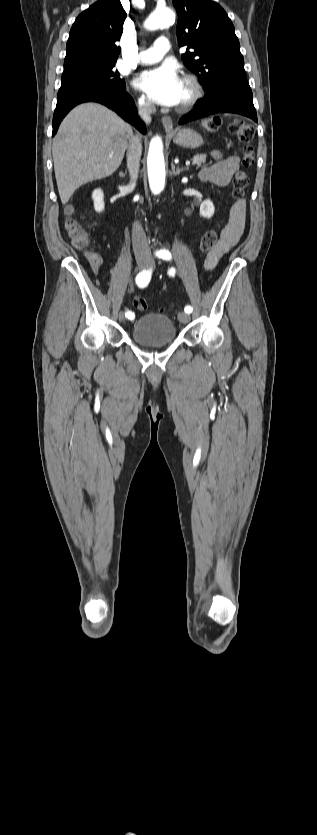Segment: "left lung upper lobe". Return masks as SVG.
I'll return each mask as SVG.
<instances>
[{
  "label": "left lung upper lobe",
  "instance_id": "obj_1",
  "mask_svg": "<svg viewBox=\"0 0 317 835\" xmlns=\"http://www.w3.org/2000/svg\"><path fill=\"white\" fill-rule=\"evenodd\" d=\"M173 5L178 44L188 46L183 62L199 77L205 96L217 95L233 80H246L240 44L224 9L210 0H173Z\"/></svg>",
  "mask_w": 317,
  "mask_h": 835
}]
</instances>
